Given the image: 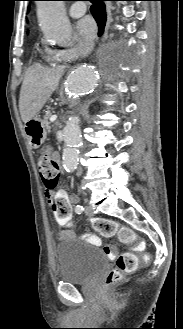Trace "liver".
<instances>
[{
	"label": "liver",
	"instance_id": "obj_1",
	"mask_svg": "<svg viewBox=\"0 0 183 329\" xmlns=\"http://www.w3.org/2000/svg\"><path fill=\"white\" fill-rule=\"evenodd\" d=\"M62 73L63 67L48 68L39 64L27 69L19 98V110L24 123L41 110L58 86Z\"/></svg>",
	"mask_w": 183,
	"mask_h": 329
}]
</instances>
